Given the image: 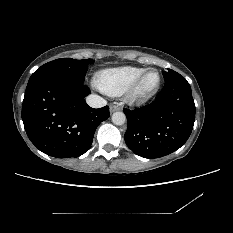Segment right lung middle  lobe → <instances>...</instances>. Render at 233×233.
<instances>
[{
  "label": "right lung middle lobe",
  "instance_id": "1",
  "mask_svg": "<svg viewBox=\"0 0 233 233\" xmlns=\"http://www.w3.org/2000/svg\"><path fill=\"white\" fill-rule=\"evenodd\" d=\"M94 60L83 59L76 60L71 58H60L53 60L39 67L30 77L29 82H33L45 77H65L67 79L84 83L85 75L88 70V65Z\"/></svg>",
  "mask_w": 233,
  "mask_h": 233
}]
</instances>
